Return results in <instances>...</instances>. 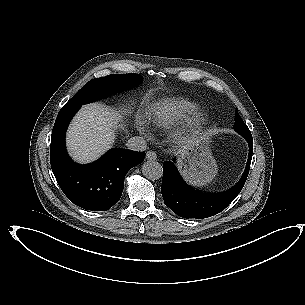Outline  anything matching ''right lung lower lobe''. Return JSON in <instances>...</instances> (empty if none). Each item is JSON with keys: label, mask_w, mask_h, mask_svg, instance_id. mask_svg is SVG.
Listing matches in <instances>:
<instances>
[{"label": "right lung lower lobe", "mask_w": 305, "mask_h": 305, "mask_svg": "<svg viewBox=\"0 0 305 305\" xmlns=\"http://www.w3.org/2000/svg\"><path fill=\"white\" fill-rule=\"evenodd\" d=\"M77 110L63 106L58 113L51 137V168L74 204L86 210L106 211L120 199L126 173L144 160L145 153L113 148L94 163H74L66 152L65 132Z\"/></svg>", "instance_id": "98d812e1"}]
</instances>
